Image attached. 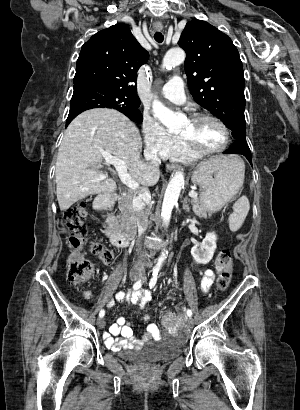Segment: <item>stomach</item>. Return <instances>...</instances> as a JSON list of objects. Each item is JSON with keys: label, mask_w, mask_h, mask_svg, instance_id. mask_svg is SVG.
Segmentation results:
<instances>
[{"label": "stomach", "mask_w": 300, "mask_h": 410, "mask_svg": "<svg viewBox=\"0 0 300 410\" xmlns=\"http://www.w3.org/2000/svg\"><path fill=\"white\" fill-rule=\"evenodd\" d=\"M243 166L234 155L197 166L191 179L201 188V203L206 210L218 211L237 194L244 182Z\"/></svg>", "instance_id": "stomach-1"}]
</instances>
